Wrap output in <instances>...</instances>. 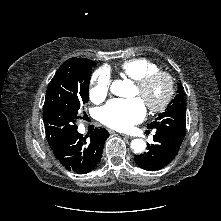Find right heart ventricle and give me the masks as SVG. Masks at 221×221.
Returning a JSON list of instances; mask_svg holds the SVG:
<instances>
[{"mask_svg": "<svg viewBox=\"0 0 221 221\" xmlns=\"http://www.w3.org/2000/svg\"><path fill=\"white\" fill-rule=\"evenodd\" d=\"M158 69L159 68L156 63L145 58L125 61L120 67L121 73L134 81H138Z\"/></svg>", "mask_w": 221, "mask_h": 221, "instance_id": "1", "label": "right heart ventricle"}]
</instances>
